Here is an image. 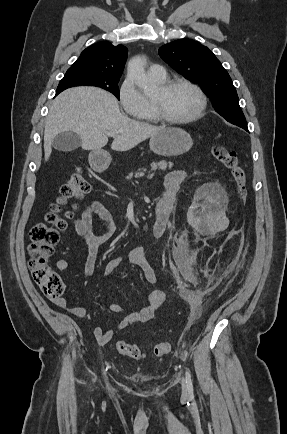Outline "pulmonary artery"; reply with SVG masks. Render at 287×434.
Listing matches in <instances>:
<instances>
[{
  "mask_svg": "<svg viewBox=\"0 0 287 434\" xmlns=\"http://www.w3.org/2000/svg\"><path fill=\"white\" fill-rule=\"evenodd\" d=\"M148 74L155 80H163L166 78V71L159 64L151 65L148 69Z\"/></svg>",
  "mask_w": 287,
  "mask_h": 434,
  "instance_id": "obj_1",
  "label": "pulmonary artery"
}]
</instances>
